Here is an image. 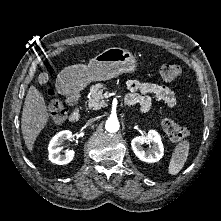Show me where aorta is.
<instances>
[{"label":"aorta","mask_w":221,"mask_h":221,"mask_svg":"<svg viewBox=\"0 0 221 221\" xmlns=\"http://www.w3.org/2000/svg\"><path fill=\"white\" fill-rule=\"evenodd\" d=\"M105 129L110 133H115L119 130V121L116 117H109L105 123Z\"/></svg>","instance_id":"1"}]
</instances>
